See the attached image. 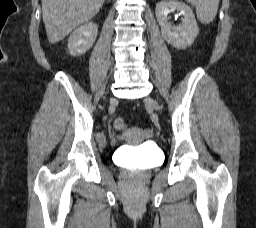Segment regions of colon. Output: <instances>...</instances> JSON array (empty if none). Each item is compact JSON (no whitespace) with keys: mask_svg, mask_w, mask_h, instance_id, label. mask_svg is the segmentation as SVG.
<instances>
[{"mask_svg":"<svg viewBox=\"0 0 256 228\" xmlns=\"http://www.w3.org/2000/svg\"><path fill=\"white\" fill-rule=\"evenodd\" d=\"M113 126L118 131H124L126 129V123L121 118H116L113 122Z\"/></svg>","mask_w":256,"mask_h":228,"instance_id":"1","label":"colon"}]
</instances>
